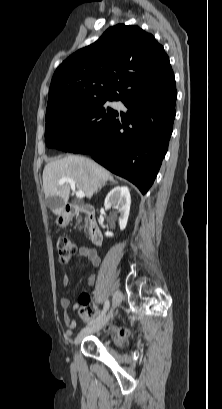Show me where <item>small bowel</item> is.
Instances as JSON below:
<instances>
[{
    "mask_svg": "<svg viewBox=\"0 0 222 409\" xmlns=\"http://www.w3.org/2000/svg\"><path fill=\"white\" fill-rule=\"evenodd\" d=\"M89 260L93 266H98L101 262L100 256L98 255L97 251L88 247H80L77 252L72 257V260ZM96 277L95 275H90L87 279V284L89 286H93L95 284ZM70 282V276L65 274L62 278V285L64 287L68 286ZM60 306L67 310L71 306V301L68 297H61L60 299ZM78 305H75L74 308H77ZM63 323L67 327L65 332V337L70 339L73 335V330L76 327V321L71 319L68 314H65L63 317Z\"/></svg>",
    "mask_w": 222,
    "mask_h": 409,
    "instance_id": "obj_1",
    "label": "small bowel"
}]
</instances>
